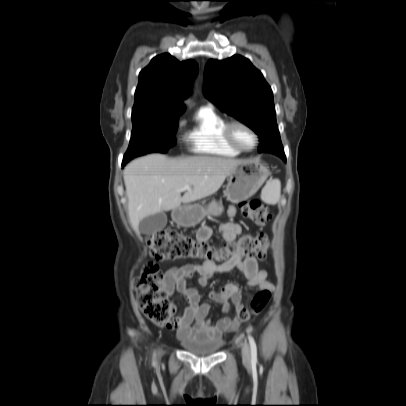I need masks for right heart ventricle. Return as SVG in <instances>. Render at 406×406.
<instances>
[{
  "label": "right heart ventricle",
  "mask_w": 406,
  "mask_h": 406,
  "mask_svg": "<svg viewBox=\"0 0 406 406\" xmlns=\"http://www.w3.org/2000/svg\"><path fill=\"white\" fill-rule=\"evenodd\" d=\"M227 120L211 106L201 107L185 139L191 151L198 154L234 157L241 153L225 139Z\"/></svg>",
  "instance_id": "obj_1"
}]
</instances>
